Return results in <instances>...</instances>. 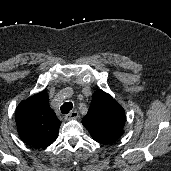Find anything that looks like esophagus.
I'll return each mask as SVG.
<instances>
[{"mask_svg": "<svg viewBox=\"0 0 171 171\" xmlns=\"http://www.w3.org/2000/svg\"><path fill=\"white\" fill-rule=\"evenodd\" d=\"M79 117V114L77 111H72L69 114H67L64 119L66 121L71 120V119H77Z\"/></svg>", "mask_w": 171, "mask_h": 171, "instance_id": "1", "label": "esophagus"}]
</instances>
